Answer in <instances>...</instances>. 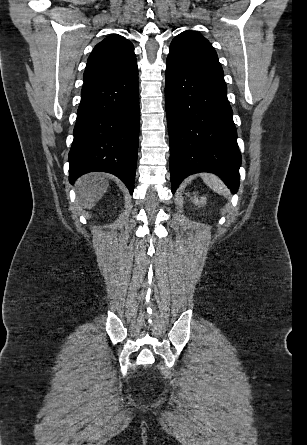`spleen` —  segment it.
<instances>
[{"mask_svg": "<svg viewBox=\"0 0 307 445\" xmlns=\"http://www.w3.org/2000/svg\"><path fill=\"white\" fill-rule=\"evenodd\" d=\"M201 176L205 184H207V186H210V188H213V190H216V192H219V194H225L227 188L224 182H222V180H220V178H218L216 174H210V172H203Z\"/></svg>", "mask_w": 307, "mask_h": 445, "instance_id": "3e777b00", "label": "spleen"}]
</instances>
